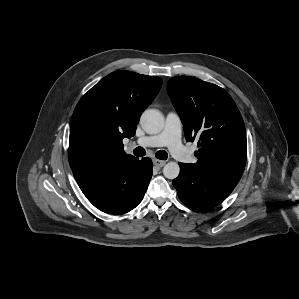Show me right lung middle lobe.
<instances>
[{
	"mask_svg": "<svg viewBox=\"0 0 299 299\" xmlns=\"http://www.w3.org/2000/svg\"><path fill=\"white\" fill-rule=\"evenodd\" d=\"M94 142L91 134L84 132L81 136L74 142V144L69 145V162L73 159L79 157L87 149H89Z\"/></svg>",
	"mask_w": 299,
	"mask_h": 299,
	"instance_id": "right-lung-middle-lobe-1",
	"label": "right lung middle lobe"
}]
</instances>
